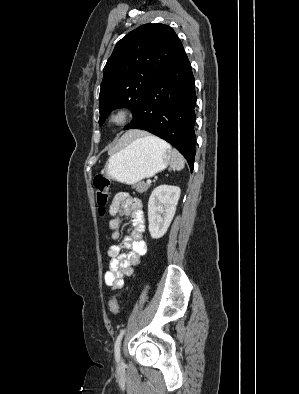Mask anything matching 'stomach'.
<instances>
[{
	"instance_id": "0dacf381",
	"label": "stomach",
	"mask_w": 299,
	"mask_h": 394,
	"mask_svg": "<svg viewBox=\"0 0 299 394\" xmlns=\"http://www.w3.org/2000/svg\"><path fill=\"white\" fill-rule=\"evenodd\" d=\"M170 160L169 148L141 137L111 155L105 169L110 178L134 185L166 168Z\"/></svg>"
}]
</instances>
